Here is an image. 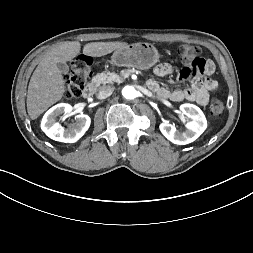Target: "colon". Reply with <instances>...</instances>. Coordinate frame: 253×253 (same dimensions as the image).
<instances>
[{"label":"colon","instance_id":"5ec220e1","mask_svg":"<svg viewBox=\"0 0 253 253\" xmlns=\"http://www.w3.org/2000/svg\"><path fill=\"white\" fill-rule=\"evenodd\" d=\"M200 48L196 45H182L178 49V55L185 65L194 57L199 56ZM92 75V61L88 56L75 58L70 67V71L65 78L64 95L67 99L78 98ZM181 76V75H180ZM225 106L219 98H213L209 104V111L213 117H220Z\"/></svg>","mask_w":253,"mask_h":253}]
</instances>
